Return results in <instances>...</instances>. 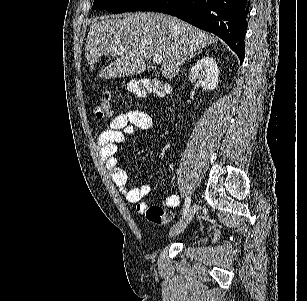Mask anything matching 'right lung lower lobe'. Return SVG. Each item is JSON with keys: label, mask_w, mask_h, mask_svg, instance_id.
I'll use <instances>...</instances> for the list:
<instances>
[{"label": "right lung lower lobe", "mask_w": 307, "mask_h": 301, "mask_svg": "<svg viewBox=\"0 0 307 301\" xmlns=\"http://www.w3.org/2000/svg\"><path fill=\"white\" fill-rule=\"evenodd\" d=\"M249 5L247 0H153L142 11L170 14L214 33L243 62Z\"/></svg>", "instance_id": "98d812e1"}]
</instances>
